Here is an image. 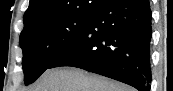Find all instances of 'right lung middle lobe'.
I'll use <instances>...</instances> for the list:
<instances>
[{"label":"right lung middle lobe","mask_w":173,"mask_h":91,"mask_svg":"<svg viewBox=\"0 0 173 91\" xmlns=\"http://www.w3.org/2000/svg\"><path fill=\"white\" fill-rule=\"evenodd\" d=\"M101 2V1H97ZM94 10L46 19L21 32L25 84L34 82L90 24Z\"/></svg>","instance_id":"right-lung-middle-lobe-1"}]
</instances>
